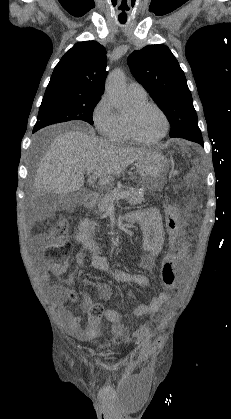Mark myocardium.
<instances>
[{
  "label": "myocardium",
  "mask_w": 231,
  "mask_h": 419,
  "mask_svg": "<svg viewBox=\"0 0 231 419\" xmlns=\"http://www.w3.org/2000/svg\"><path fill=\"white\" fill-rule=\"evenodd\" d=\"M147 109L156 110L161 115V117L163 118V121H164V129H163L162 133L159 136H157L156 138L149 139V140L143 139L140 136H138V134L135 131L134 123H133L134 115H136L140 112H143ZM169 129H170V122H169L167 114L158 105H156L154 103L144 102L142 104H138L133 108L132 113L127 116L128 136L132 141H134V142H136L137 144H140V145H154V144L160 142L168 134Z\"/></svg>",
  "instance_id": "1"
}]
</instances>
